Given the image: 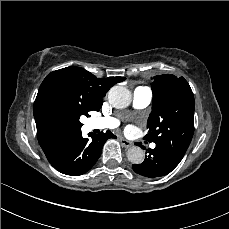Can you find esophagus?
<instances>
[{
	"mask_svg": "<svg viewBox=\"0 0 229 229\" xmlns=\"http://www.w3.org/2000/svg\"><path fill=\"white\" fill-rule=\"evenodd\" d=\"M120 143L124 148H129L133 145V143L125 138L120 139Z\"/></svg>",
	"mask_w": 229,
	"mask_h": 229,
	"instance_id": "esophagus-1",
	"label": "esophagus"
}]
</instances>
